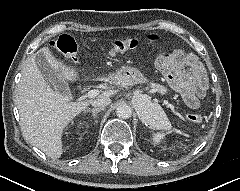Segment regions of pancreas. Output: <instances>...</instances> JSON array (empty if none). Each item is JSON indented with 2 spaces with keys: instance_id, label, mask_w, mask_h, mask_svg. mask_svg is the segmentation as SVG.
<instances>
[{
  "instance_id": "1",
  "label": "pancreas",
  "mask_w": 240,
  "mask_h": 191,
  "mask_svg": "<svg viewBox=\"0 0 240 191\" xmlns=\"http://www.w3.org/2000/svg\"><path fill=\"white\" fill-rule=\"evenodd\" d=\"M148 88H151L152 91L159 92L161 94H165L167 92V89L158 83H150L148 85Z\"/></svg>"
}]
</instances>
